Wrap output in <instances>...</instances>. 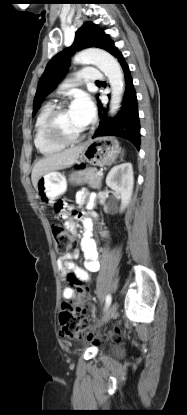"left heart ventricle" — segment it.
<instances>
[{"label": "left heart ventricle", "instance_id": "1", "mask_svg": "<svg viewBox=\"0 0 187 415\" xmlns=\"http://www.w3.org/2000/svg\"><path fill=\"white\" fill-rule=\"evenodd\" d=\"M58 127L61 133L68 137H73L81 133L85 127L80 120L67 108L59 117Z\"/></svg>", "mask_w": 187, "mask_h": 415}]
</instances>
